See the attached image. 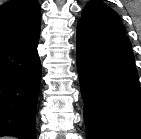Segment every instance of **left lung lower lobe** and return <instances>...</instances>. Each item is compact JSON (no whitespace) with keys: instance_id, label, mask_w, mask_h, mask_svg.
Instances as JSON below:
<instances>
[{"instance_id":"0a47b994","label":"left lung lower lobe","mask_w":141,"mask_h":139,"mask_svg":"<svg viewBox=\"0 0 141 139\" xmlns=\"http://www.w3.org/2000/svg\"><path fill=\"white\" fill-rule=\"evenodd\" d=\"M76 58L87 139H141V89L126 34L79 20Z\"/></svg>"}]
</instances>
